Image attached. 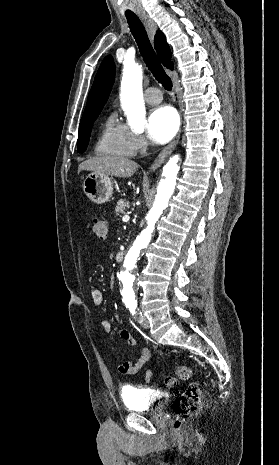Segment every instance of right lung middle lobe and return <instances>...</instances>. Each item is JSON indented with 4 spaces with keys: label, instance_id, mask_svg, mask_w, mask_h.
I'll list each match as a JSON object with an SVG mask.
<instances>
[{
    "label": "right lung middle lobe",
    "instance_id": "right-lung-middle-lobe-1",
    "mask_svg": "<svg viewBox=\"0 0 279 465\" xmlns=\"http://www.w3.org/2000/svg\"><path fill=\"white\" fill-rule=\"evenodd\" d=\"M95 120L96 118L89 125L79 128V136L77 142V148L79 153H83L86 150L88 141L90 139L92 125Z\"/></svg>",
    "mask_w": 279,
    "mask_h": 465
}]
</instances>
